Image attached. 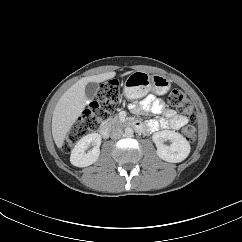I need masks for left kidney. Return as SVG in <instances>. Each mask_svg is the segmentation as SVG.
<instances>
[{"label": "left kidney", "instance_id": "5707ae66", "mask_svg": "<svg viewBox=\"0 0 242 242\" xmlns=\"http://www.w3.org/2000/svg\"><path fill=\"white\" fill-rule=\"evenodd\" d=\"M169 140V146L164 141ZM157 146V155L164 161L178 163L187 158L190 153V144L181 134L171 130H163L153 135Z\"/></svg>", "mask_w": 242, "mask_h": 242}]
</instances>
